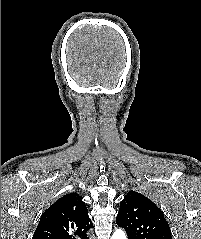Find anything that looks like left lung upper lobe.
<instances>
[{
  "instance_id": "left-lung-upper-lobe-1",
  "label": "left lung upper lobe",
  "mask_w": 201,
  "mask_h": 239,
  "mask_svg": "<svg viewBox=\"0 0 201 239\" xmlns=\"http://www.w3.org/2000/svg\"><path fill=\"white\" fill-rule=\"evenodd\" d=\"M116 223L125 229L128 239H172L160 208L135 191H130L120 202Z\"/></svg>"
}]
</instances>
